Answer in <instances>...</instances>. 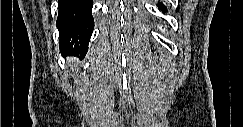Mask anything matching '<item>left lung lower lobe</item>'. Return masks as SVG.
Masks as SVG:
<instances>
[{
  "label": "left lung lower lobe",
  "instance_id": "1",
  "mask_svg": "<svg viewBox=\"0 0 243 127\" xmlns=\"http://www.w3.org/2000/svg\"><path fill=\"white\" fill-rule=\"evenodd\" d=\"M158 8L160 9V10H162L163 12H166L167 11V8H166V6L163 4V3H158Z\"/></svg>",
  "mask_w": 243,
  "mask_h": 127
}]
</instances>
